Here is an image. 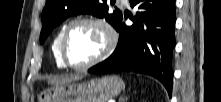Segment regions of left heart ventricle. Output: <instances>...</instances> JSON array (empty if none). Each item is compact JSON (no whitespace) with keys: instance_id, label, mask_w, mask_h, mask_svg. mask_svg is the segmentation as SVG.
I'll return each instance as SVG.
<instances>
[{"instance_id":"left-heart-ventricle-1","label":"left heart ventricle","mask_w":221,"mask_h":102,"mask_svg":"<svg viewBox=\"0 0 221 102\" xmlns=\"http://www.w3.org/2000/svg\"><path fill=\"white\" fill-rule=\"evenodd\" d=\"M103 32L90 24H79L72 28L66 42V56L70 63L82 65L95 58L103 49Z\"/></svg>"}]
</instances>
